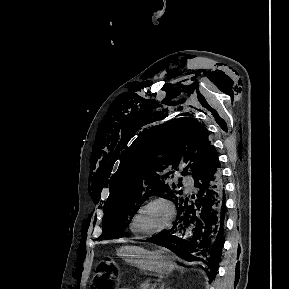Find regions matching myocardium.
Listing matches in <instances>:
<instances>
[{
  "label": "myocardium",
  "instance_id": "f54148a6",
  "mask_svg": "<svg viewBox=\"0 0 289 289\" xmlns=\"http://www.w3.org/2000/svg\"><path fill=\"white\" fill-rule=\"evenodd\" d=\"M154 204H159V205H162L163 207L166 208V210L168 212V218H167L166 223L163 226H161V227H159L153 231L142 232V231L138 230L135 226L137 218L140 216V214L147 207L154 205ZM175 216H176V210H175L173 203L170 200H168L165 197H153V198H150L149 200L145 201L138 208V210L135 212V214L132 217L131 223H130V229L132 230V232H134L135 234H138L140 236H153V235H156L162 231L169 229L174 222Z\"/></svg>",
  "mask_w": 289,
  "mask_h": 289
}]
</instances>
